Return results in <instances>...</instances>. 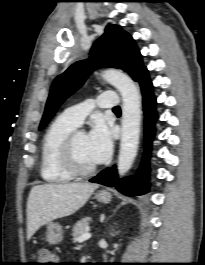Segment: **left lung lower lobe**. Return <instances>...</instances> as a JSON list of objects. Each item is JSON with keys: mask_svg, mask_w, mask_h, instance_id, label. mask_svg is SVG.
I'll list each match as a JSON object with an SVG mask.
<instances>
[{"mask_svg": "<svg viewBox=\"0 0 205 265\" xmlns=\"http://www.w3.org/2000/svg\"><path fill=\"white\" fill-rule=\"evenodd\" d=\"M137 82L143 95V111L145 113V139H144V158L142 167L138 170V176L131 179L120 181L117 177L116 166L112 169L107 168L100 174L90 179V182L99 183L109 187H116L121 193L128 196H139L149 191L147 164L151 152L152 140L154 137V124L157 119L155 111L156 98L153 94V85L145 68L139 75Z\"/></svg>", "mask_w": 205, "mask_h": 265, "instance_id": "0a47b994", "label": "left lung lower lobe"}]
</instances>
